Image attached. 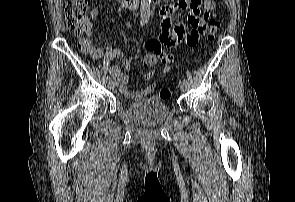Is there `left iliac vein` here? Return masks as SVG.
Returning a JSON list of instances; mask_svg holds the SVG:
<instances>
[{
	"mask_svg": "<svg viewBox=\"0 0 295 202\" xmlns=\"http://www.w3.org/2000/svg\"><path fill=\"white\" fill-rule=\"evenodd\" d=\"M180 90L182 92H186L188 90V84L187 83H181L180 84Z\"/></svg>",
	"mask_w": 295,
	"mask_h": 202,
	"instance_id": "1",
	"label": "left iliac vein"
}]
</instances>
